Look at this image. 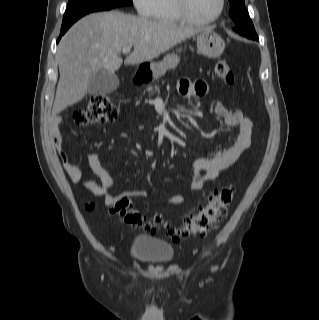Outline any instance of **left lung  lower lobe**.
Listing matches in <instances>:
<instances>
[{
    "label": "left lung lower lobe",
    "instance_id": "1",
    "mask_svg": "<svg viewBox=\"0 0 319 320\" xmlns=\"http://www.w3.org/2000/svg\"><path fill=\"white\" fill-rule=\"evenodd\" d=\"M234 30L236 32H238L239 34H241L242 36H245V37L253 39V40H258V36H257L256 32L255 33H250V32L238 29V28H235Z\"/></svg>",
    "mask_w": 319,
    "mask_h": 320
}]
</instances>
